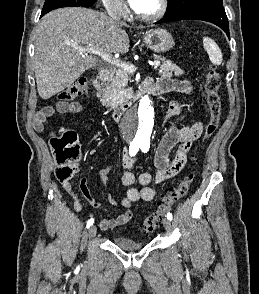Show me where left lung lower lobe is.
<instances>
[{
    "label": "left lung lower lobe",
    "mask_w": 259,
    "mask_h": 294,
    "mask_svg": "<svg viewBox=\"0 0 259 294\" xmlns=\"http://www.w3.org/2000/svg\"><path fill=\"white\" fill-rule=\"evenodd\" d=\"M179 20H203L211 22L224 30L230 38L228 18L223 6L202 5L171 16H165L155 24Z\"/></svg>",
    "instance_id": "0a47b994"
}]
</instances>
